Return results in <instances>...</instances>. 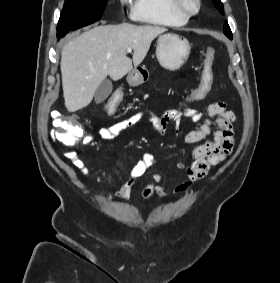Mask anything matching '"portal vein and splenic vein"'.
I'll return each mask as SVG.
<instances>
[{
    "mask_svg": "<svg viewBox=\"0 0 280 283\" xmlns=\"http://www.w3.org/2000/svg\"><path fill=\"white\" fill-rule=\"evenodd\" d=\"M132 48L131 47H128L127 48V52H131Z\"/></svg>",
    "mask_w": 280,
    "mask_h": 283,
    "instance_id": "portal-vein-and-splenic-vein-1",
    "label": "portal vein and splenic vein"
}]
</instances>
